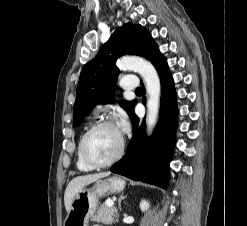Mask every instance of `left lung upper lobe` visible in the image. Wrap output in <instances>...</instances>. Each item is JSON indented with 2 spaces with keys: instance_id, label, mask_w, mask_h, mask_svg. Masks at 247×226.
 <instances>
[{
  "instance_id": "5c2ea615",
  "label": "left lung upper lobe",
  "mask_w": 247,
  "mask_h": 226,
  "mask_svg": "<svg viewBox=\"0 0 247 226\" xmlns=\"http://www.w3.org/2000/svg\"><path fill=\"white\" fill-rule=\"evenodd\" d=\"M159 52L158 46L141 25L124 24L100 48L97 56L82 69L73 111V125L78 126L93 107L99 103H110L114 96L118 68L115 61L126 54L139 55L148 60ZM131 117L136 100L119 102Z\"/></svg>"
}]
</instances>
